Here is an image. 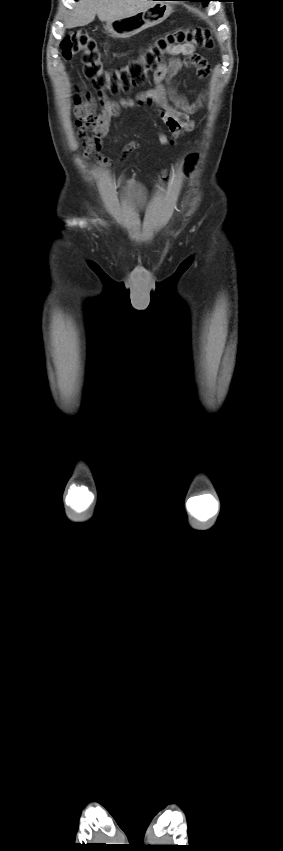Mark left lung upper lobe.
Here are the masks:
<instances>
[{
	"mask_svg": "<svg viewBox=\"0 0 283 851\" xmlns=\"http://www.w3.org/2000/svg\"><path fill=\"white\" fill-rule=\"evenodd\" d=\"M191 1H202L203 5L205 6L211 0H191Z\"/></svg>",
	"mask_w": 283,
	"mask_h": 851,
	"instance_id": "obj_1",
	"label": "left lung upper lobe"
}]
</instances>
